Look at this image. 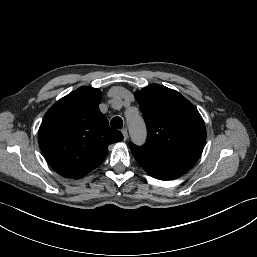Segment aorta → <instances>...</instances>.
<instances>
[{
    "mask_svg": "<svg viewBox=\"0 0 257 257\" xmlns=\"http://www.w3.org/2000/svg\"><path fill=\"white\" fill-rule=\"evenodd\" d=\"M127 123L133 139L135 141H142L145 137V126L141 116L138 113L127 115Z\"/></svg>",
    "mask_w": 257,
    "mask_h": 257,
    "instance_id": "1",
    "label": "aorta"
}]
</instances>
